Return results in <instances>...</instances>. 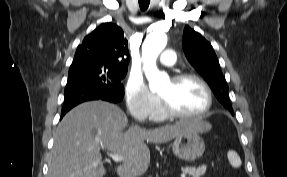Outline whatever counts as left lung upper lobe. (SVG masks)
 Wrapping results in <instances>:
<instances>
[{
    "mask_svg": "<svg viewBox=\"0 0 287 177\" xmlns=\"http://www.w3.org/2000/svg\"><path fill=\"white\" fill-rule=\"evenodd\" d=\"M183 50L188 61L206 80L219 102L233 114L228 98V85L211 44L200 33L186 26Z\"/></svg>",
    "mask_w": 287,
    "mask_h": 177,
    "instance_id": "5c2ea615",
    "label": "left lung upper lobe"
}]
</instances>
